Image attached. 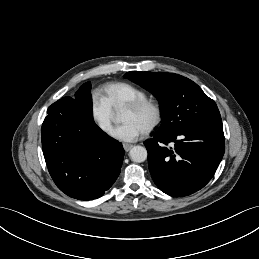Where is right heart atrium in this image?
<instances>
[{
	"label": "right heart atrium",
	"instance_id": "obj_1",
	"mask_svg": "<svg viewBox=\"0 0 259 259\" xmlns=\"http://www.w3.org/2000/svg\"><path fill=\"white\" fill-rule=\"evenodd\" d=\"M91 117L103 133H109L114 119L112 107L106 99L93 93L90 99Z\"/></svg>",
	"mask_w": 259,
	"mask_h": 259
}]
</instances>
